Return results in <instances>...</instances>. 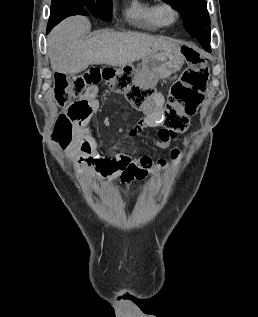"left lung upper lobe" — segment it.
Instances as JSON below:
<instances>
[{"label": "left lung upper lobe", "instance_id": "obj_1", "mask_svg": "<svg viewBox=\"0 0 258 317\" xmlns=\"http://www.w3.org/2000/svg\"><path fill=\"white\" fill-rule=\"evenodd\" d=\"M177 10L184 21L186 31L192 37L210 33V18L206 0H164Z\"/></svg>", "mask_w": 258, "mask_h": 317}]
</instances>
